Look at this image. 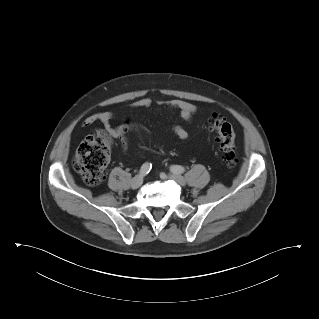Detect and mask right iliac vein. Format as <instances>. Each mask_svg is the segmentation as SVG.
Segmentation results:
<instances>
[{"instance_id": "63e3f726", "label": "right iliac vein", "mask_w": 319, "mask_h": 319, "mask_svg": "<svg viewBox=\"0 0 319 319\" xmlns=\"http://www.w3.org/2000/svg\"><path fill=\"white\" fill-rule=\"evenodd\" d=\"M143 183V177L142 176H135L132 180H131V188L132 189H137L139 188Z\"/></svg>"}]
</instances>
